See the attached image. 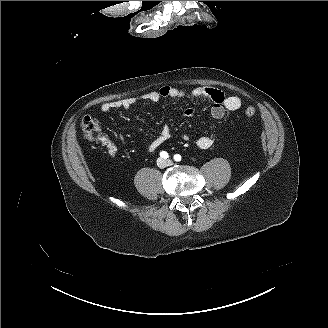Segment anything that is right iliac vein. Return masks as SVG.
Instances as JSON below:
<instances>
[{
	"label": "right iliac vein",
	"instance_id": "right-iliac-vein-1",
	"mask_svg": "<svg viewBox=\"0 0 328 328\" xmlns=\"http://www.w3.org/2000/svg\"><path fill=\"white\" fill-rule=\"evenodd\" d=\"M159 165L161 167H163L165 165V161L162 158L159 160Z\"/></svg>",
	"mask_w": 328,
	"mask_h": 328
}]
</instances>
